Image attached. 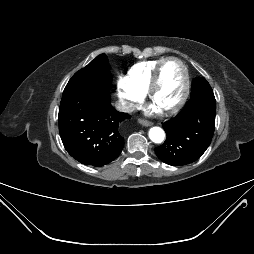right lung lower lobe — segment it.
Wrapping results in <instances>:
<instances>
[{"label":"right lung lower lobe","instance_id":"98d812e1","mask_svg":"<svg viewBox=\"0 0 254 254\" xmlns=\"http://www.w3.org/2000/svg\"><path fill=\"white\" fill-rule=\"evenodd\" d=\"M129 118L112 107L109 91L78 86L64 89L58 114L59 133L74 159L99 167L121 153L124 138L120 127Z\"/></svg>","mask_w":254,"mask_h":254}]
</instances>
